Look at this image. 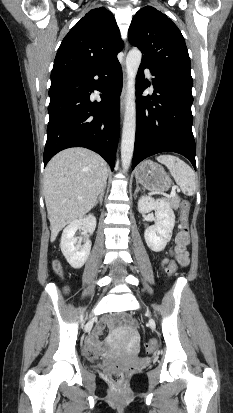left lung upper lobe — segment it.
I'll return each mask as SVG.
<instances>
[{
	"instance_id": "5c2ea615",
	"label": "left lung upper lobe",
	"mask_w": 233,
	"mask_h": 413,
	"mask_svg": "<svg viewBox=\"0 0 233 413\" xmlns=\"http://www.w3.org/2000/svg\"><path fill=\"white\" fill-rule=\"evenodd\" d=\"M129 42L138 47L142 62L192 87L191 63L184 38L165 14L146 6L133 17Z\"/></svg>"
}]
</instances>
